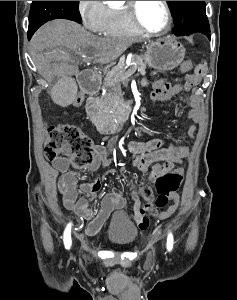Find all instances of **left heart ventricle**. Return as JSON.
Here are the masks:
<instances>
[{
  "mask_svg": "<svg viewBox=\"0 0 237 300\" xmlns=\"http://www.w3.org/2000/svg\"><path fill=\"white\" fill-rule=\"evenodd\" d=\"M141 23L152 31H160L166 23V12L162 1H140Z\"/></svg>",
  "mask_w": 237,
  "mask_h": 300,
  "instance_id": "left-heart-ventricle-1",
  "label": "left heart ventricle"
}]
</instances>
